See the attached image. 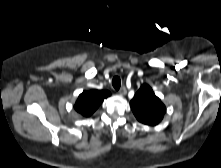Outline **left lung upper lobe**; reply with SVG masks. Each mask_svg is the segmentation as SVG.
<instances>
[{"mask_svg": "<svg viewBox=\"0 0 221 168\" xmlns=\"http://www.w3.org/2000/svg\"><path fill=\"white\" fill-rule=\"evenodd\" d=\"M130 105L137 120L150 126L157 125L166 112L165 105L147 84L140 87Z\"/></svg>", "mask_w": 221, "mask_h": 168, "instance_id": "left-lung-upper-lobe-1", "label": "left lung upper lobe"}]
</instances>
